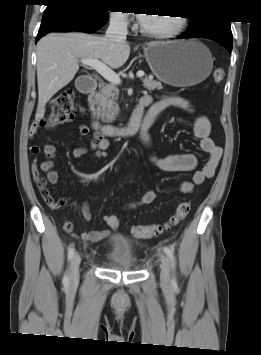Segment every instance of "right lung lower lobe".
<instances>
[{
    "mask_svg": "<svg viewBox=\"0 0 261 355\" xmlns=\"http://www.w3.org/2000/svg\"><path fill=\"white\" fill-rule=\"evenodd\" d=\"M107 21L108 16L95 15L78 3H51L47 5L43 14L36 42L45 34L53 31L92 33Z\"/></svg>",
    "mask_w": 261,
    "mask_h": 355,
    "instance_id": "right-lung-lower-lobe-1",
    "label": "right lung lower lobe"
}]
</instances>
